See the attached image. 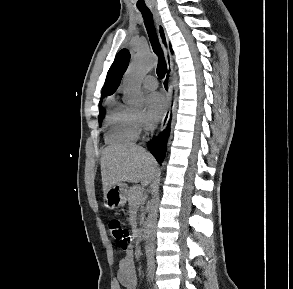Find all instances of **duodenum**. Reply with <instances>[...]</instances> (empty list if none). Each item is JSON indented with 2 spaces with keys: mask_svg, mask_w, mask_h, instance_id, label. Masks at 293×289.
Returning a JSON list of instances; mask_svg holds the SVG:
<instances>
[{
  "mask_svg": "<svg viewBox=\"0 0 293 289\" xmlns=\"http://www.w3.org/2000/svg\"><path fill=\"white\" fill-rule=\"evenodd\" d=\"M146 235H147V228L146 226L143 224L137 231L136 234V239L139 242H144L146 240Z\"/></svg>",
  "mask_w": 293,
  "mask_h": 289,
  "instance_id": "obj_1",
  "label": "duodenum"
}]
</instances>
